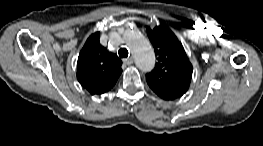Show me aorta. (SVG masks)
Returning a JSON list of instances; mask_svg holds the SVG:
<instances>
[{"instance_id":"aorta-1","label":"aorta","mask_w":263,"mask_h":146,"mask_svg":"<svg viewBox=\"0 0 263 146\" xmlns=\"http://www.w3.org/2000/svg\"><path fill=\"white\" fill-rule=\"evenodd\" d=\"M125 40L137 67L144 72L150 71L155 65V54L148 40L136 30L127 31Z\"/></svg>"}]
</instances>
